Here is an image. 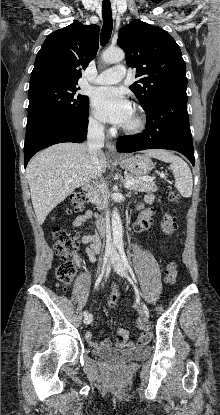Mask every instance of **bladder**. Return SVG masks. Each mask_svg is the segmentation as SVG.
Instances as JSON below:
<instances>
[{
    "instance_id": "bladder-1",
    "label": "bladder",
    "mask_w": 220,
    "mask_h": 415,
    "mask_svg": "<svg viewBox=\"0 0 220 415\" xmlns=\"http://www.w3.org/2000/svg\"><path fill=\"white\" fill-rule=\"evenodd\" d=\"M94 353L108 362L127 364L145 359L149 354V347H135L126 350L96 348Z\"/></svg>"
}]
</instances>
